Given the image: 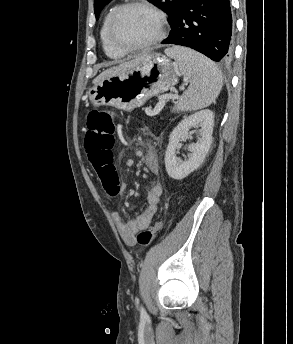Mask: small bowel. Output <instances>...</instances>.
I'll return each instance as SVG.
<instances>
[{"label": "small bowel", "instance_id": "c3829d8e", "mask_svg": "<svg viewBox=\"0 0 293 344\" xmlns=\"http://www.w3.org/2000/svg\"><path fill=\"white\" fill-rule=\"evenodd\" d=\"M137 155L142 157V161L146 169L154 175L159 174V163L153 149L147 145L144 151H137ZM102 174L110 181L118 179L114 165L108 166L102 170ZM127 184L120 183V193H125ZM163 188L159 181H155L146 194L147 206L145 210L137 217L132 219H125L122 214L115 212L113 214L114 221L117 225L119 234L123 242L128 246H133L136 243L135 235L138 231L147 228L158 208L160 197Z\"/></svg>", "mask_w": 293, "mask_h": 344}]
</instances>
